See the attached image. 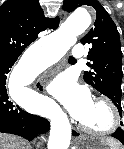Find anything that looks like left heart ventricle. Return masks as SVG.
<instances>
[{
  "mask_svg": "<svg viewBox=\"0 0 124 149\" xmlns=\"http://www.w3.org/2000/svg\"><path fill=\"white\" fill-rule=\"evenodd\" d=\"M80 122L94 130H105L111 123L110 111L105 104L93 101L91 108Z\"/></svg>",
  "mask_w": 124,
  "mask_h": 149,
  "instance_id": "left-heart-ventricle-1",
  "label": "left heart ventricle"
}]
</instances>
